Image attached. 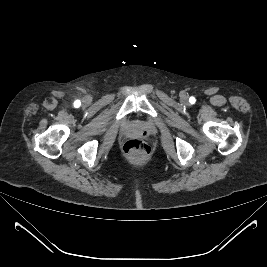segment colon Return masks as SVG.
Returning <instances> with one entry per match:
<instances>
[{
    "label": "colon",
    "instance_id": "obj_1",
    "mask_svg": "<svg viewBox=\"0 0 267 267\" xmlns=\"http://www.w3.org/2000/svg\"><path fill=\"white\" fill-rule=\"evenodd\" d=\"M124 151L131 157L142 158L148 155L149 147L140 139H132L125 143Z\"/></svg>",
    "mask_w": 267,
    "mask_h": 267
}]
</instances>
